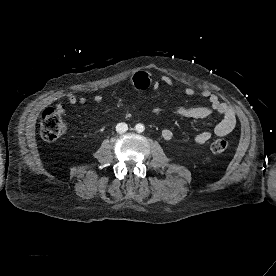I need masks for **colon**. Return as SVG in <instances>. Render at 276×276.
<instances>
[{"label":"colon","instance_id":"5ec220e1","mask_svg":"<svg viewBox=\"0 0 276 276\" xmlns=\"http://www.w3.org/2000/svg\"><path fill=\"white\" fill-rule=\"evenodd\" d=\"M66 121L57 110L47 108L41 116L40 134L45 141H55L66 131ZM228 149V141L223 138L215 139L211 144L214 153H223Z\"/></svg>","mask_w":276,"mask_h":276}]
</instances>
